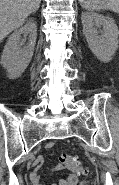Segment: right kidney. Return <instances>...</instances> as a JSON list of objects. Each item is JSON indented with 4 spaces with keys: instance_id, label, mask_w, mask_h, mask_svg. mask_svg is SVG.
<instances>
[{
    "instance_id": "obj_1",
    "label": "right kidney",
    "mask_w": 119,
    "mask_h": 185,
    "mask_svg": "<svg viewBox=\"0 0 119 185\" xmlns=\"http://www.w3.org/2000/svg\"><path fill=\"white\" fill-rule=\"evenodd\" d=\"M29 34L27 45L21 42V35ZM37 26L33 21L16 30L9 37L1 56V64L8 72L10 79L21 76L29 65L36 44Z\"/></svg>"
}]
</instances>
